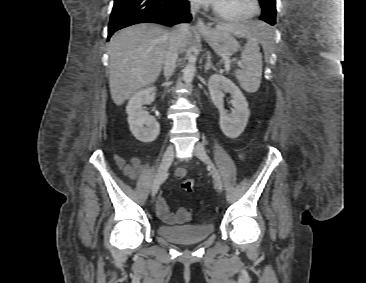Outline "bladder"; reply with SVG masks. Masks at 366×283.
<instances>
[{
	"mask_svg": "<svg viewBox=\"0 0 366 283\" xmlns=\"http://www.w3.org/2000/svg\"><path fill=\"white\" fill-rule=\"evenodd\" d=\"M214 231L212 223L203 222L181 226L158 224L156 232L162 238L177 244H195L208 238Z\"/></svg>",
	"mask_w": 366,
	"mask_h": 283,
	"instance_id": "1",
	"label": "bladder"
}]
</instances>
